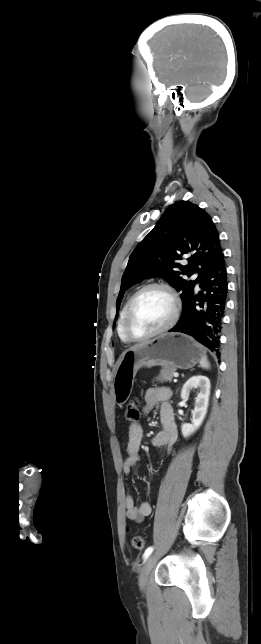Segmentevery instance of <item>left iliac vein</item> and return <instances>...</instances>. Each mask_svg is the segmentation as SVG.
<instances>
[{"instance_id": "4c4485c4", "label": "left iliac vein", "mask_w": 261, "mask_h": 644, "mask_svg": "<svg viewBox=\"0 0 261 644\" xmlns=\"http://www.w3.org/2000/svg\"><path fill=\"white\" fill-rule=\"evenodd\" d=\"M156 561H157V555L156 554H152L145 561V563H144V565L142 567L140 576H139V585H140L141 589H144L146 587L148 577L150 575L151 570L155 566Z\"/></svg>"}]
</instances>
